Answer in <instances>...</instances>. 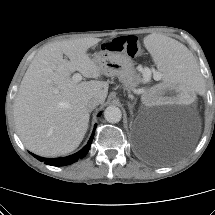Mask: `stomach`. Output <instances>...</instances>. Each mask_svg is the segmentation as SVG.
<instances>
[{"label":"stomach","instance_id":"obj_1","mask_svg":"<svg viewBox=\"0 0 215 215\" xmlns=\"http://www.w3.org/2000/svg\"><path fill=\"white\" fill-rule=\"evenodd\" d=\"M93 59L104 75L116 76L126 90L132 91L140 84L141 78L127 54L101 50Z\"/></svg>","mask_w":215,"mask_h":215}]
</instances>
